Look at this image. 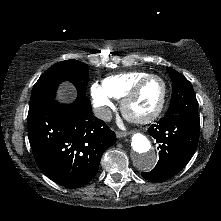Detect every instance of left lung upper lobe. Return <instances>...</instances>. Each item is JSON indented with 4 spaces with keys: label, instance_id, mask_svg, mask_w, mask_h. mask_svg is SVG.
Returning <instances> with one entry per match:
<instances>
[{
    "label": "left lung upper lobe",
    "instance_id": "1",
    "mask_svg": "<svg viewBox=\"0 0 221 221\" xmlns=\"http://www.w3.org/2000/svg\"><path fill=\"white\" fill-rule=\"evenodd\" d=\"M172 79V97L164 117L186 115L196 123H200L198 102L191 83L176 70L167 67Z\"/></svg>",
    "mask_w": 221,
    "mask_h": 221
}]
</instances>
